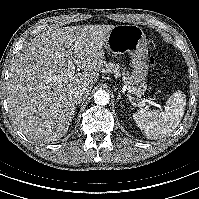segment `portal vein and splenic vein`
<instances>
[{
	"instance_id": "portal-vein-and-splenic-vein-1",
	"label": "portal vein and splenic vein",
	"mask_w": 199,
	"mask_h": 199,
	"mask_svg": "<svg viewBox=\"0 0 199 199\" xmlns=\"http://www.w3.org/2000/svg\"><path fill=\"white\" fill-rule=\"evenodd\" d=\"M68 69L66 70V75H68L69 77L73 76L75 73V65L73 64L71 59H68ZM148 103L150 105H154V106H159L158 104H156L152 99H148V98H143L141 99V104L142 106Z\"/></svg>"
}]
</instances>
